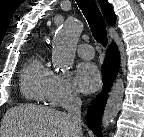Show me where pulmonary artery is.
I'll return each mask as SVG.
<instances>
[{
    "label": "pulmonary artery",
    "instance_id": "e3ab8cb5",
    "mask_svg": "<svg viewBox=\"0 0 144 137\" xmlns=\"http://www.w3.org/2000/svg\"><path fill=\"white\" fill-rule=\"evenodd\" d=\"M79 56L83 59L90 60L94 57V49L91 45L83 43L77 48Z\"/></svg>",
    "mask_w": 144,
    "mask_h": 137
}]
</instances>
